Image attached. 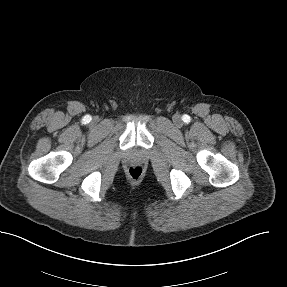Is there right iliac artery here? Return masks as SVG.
I'll list each match as a JSON object with an SVG mask.
<instances>
[{"label": "right iliac artery", "mask_w": 287, "mask_h": 287, "mask_svg": "<svg viewBox=\"0 0 287 287\" xmlns=\"http://www.w3.org/2000/svg\"><path fill=\"white\" fill-rule=\"evenodd\" d=\"M84 123H89L91 121V117L89 115L85 116L83 119Z\"/></svg>", "instance_id": "82829eb1"}]
</instances>
